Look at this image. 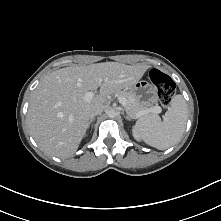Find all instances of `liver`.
<instances>
[{"instance_id": "6515ba94", "label": "liver", "mask_w": 221, "mask_h": 221, "mask_svg": "<svg viewBox=\"0 0 221 221\" xmlns=\"http://www.w3.org/2000/svg\"><path fill=\"white\" fill-rule=\"evenodd\" d=\"M149 66L105 62L66 67L49 73L34 90L27 112L31 135L47 154L69 158L88 128L90 113L103 108L106 96L131 87ZM100 95L85 101L88 91Z\"/></svg>"}]
</instances>
